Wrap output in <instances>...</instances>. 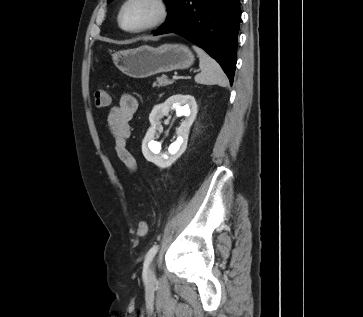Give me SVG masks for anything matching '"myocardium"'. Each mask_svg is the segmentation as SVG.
<instances>
[{
	"instance_id": "myocardium-1",
	"label": "myocardium",
	"mask_w": 363,
	"mask_h": 317,
	"mask_svg": "<svg viewBox=\"0 0 363 317\" xmlns=\"http://www.w3.org/2000/svg\"><path fill=\"white\" fill-rule=\"evenodd\" d=\"M135 0H124V2L121 4L118 15H117V22L119 27L131 34H138L146 31L153 30L157 27H160L162 24H164L169 16V6L166 0H148L150 3H152L156 7V14L155 16L146 24L139 26L137 28H126L122 24V18L123 13L126 9V7L134 2Z\"/></svg>"
}]
</instances>
